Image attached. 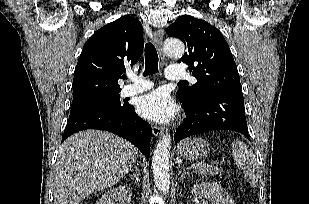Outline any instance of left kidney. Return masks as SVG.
I'll return each instance as SVG.
<instances>
[{
  "label": "left kidney",
  "instance_id": "left-kidney-1",
  "mask_svg": "<svg viewBox=\"0 0 309 204\" xmlns=\"http://www.w3.org/2000/svg\"><path fill=\"white\" fill-rule=\"evenodd\" d=\"M191 193L196 198H207L212 204H234L229 193L217 183L196 184Z\"/></svg>",
  "mask_w": 309,
  "mask_h": 204
}]
</instances>
